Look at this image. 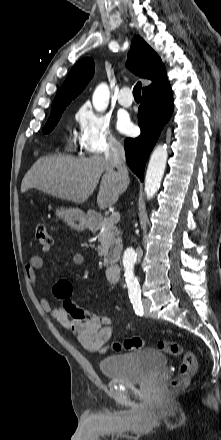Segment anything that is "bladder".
Returning <instances> with one entry per match:
<instances>
[{"instance_id":"31cf9c89","label":"bladder","mask_w":221,"mask_h":440,"mask_svg":"<svg viewBox=\"0 0 221 440\" xmlns=\"http://www.w3.org/2000/svg\"><path fill=\"white\" fill-rule=\"evenodd\" d=\"M166 356L155 349H139L100 362L106 379L125 384L145 382L166 367Z\"/></svg>"}]
</instances>
